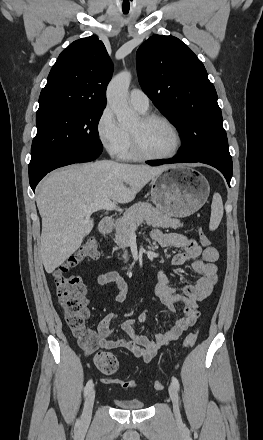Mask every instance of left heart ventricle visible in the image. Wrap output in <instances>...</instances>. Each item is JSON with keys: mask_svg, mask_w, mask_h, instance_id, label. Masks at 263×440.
<instances>
[{"mask_svg": "<svg viewBox=\"0 0 263 440\" xmlns=\"http://www.w3.org/2000/svg\"><path fill=\"white\" fill-rule=\"evenodd\" d=\"M129 130L138 137L141 146L150 154H167L175 146V137L171 129L161 121L142 123L138 118Z\"/></svg>", "mask_w": 263, "mask_h": 440, "instance_id": "b2bd125f", "label": "left heart ventricle"}]
</instances>
